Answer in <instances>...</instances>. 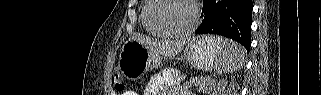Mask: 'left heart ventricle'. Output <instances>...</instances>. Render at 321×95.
Segmentation results:
<instances>
[{"label": "left heart ventricle", "instance_id": "left-heart-ventricle-1", "mask_svg": "<svg viewBox=\"0 0 321 95\" xmlns=\"http://www.w3.org/2000/svg\"><path fill=\"white\" fill-rule=\"evenodd\" d=\"M150 17L158 27L176 31L187 29L193 19L191 7L182 0L158 1Z\"/></svg>", "mask_w": 321, "mask_h": 95}]
</instances>
